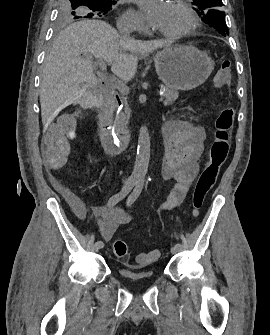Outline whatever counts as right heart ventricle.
<instances>
[{"label": "right heart ventricle", "mask_w": 270, "mask_h": 335, "mask_svg": "<svg viewBox=\"0 0 270 335\" xmlns=\"http://www.w3.org/2000/svg\"><path fill=\"white\" fill-rule=\"evenodd\" d=\"M161 78H173V77H161Z\"/></svg>", "instance_id": "right-heart-ventricle-1"}]
</instances>
